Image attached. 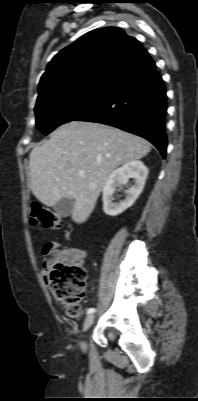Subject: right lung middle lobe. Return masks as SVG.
<instances>
[{"mask_svg": "<svg viewBox=\"0 0 198 401\" xmlns=\"http://www.w3.org/2000/svg\"><path fill=\"white\" fill-rule=\"evenodd\" d=\"M107 87L106 84H86L37 99V128L48 134L56 127L74 120L93 107L102 98Z\"/></svg>", "mask_w": 198, "mask_h": 401, "instance_id": "dd1d6c3e", "label": "right lung middle lobe"}]
</instances>
